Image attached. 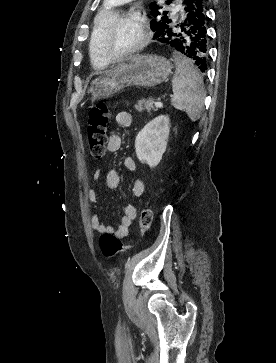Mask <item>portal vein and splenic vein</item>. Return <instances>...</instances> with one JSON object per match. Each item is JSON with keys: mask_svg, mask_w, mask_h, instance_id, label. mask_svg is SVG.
Wrapping results in <instances>:
<instances>
[{"mask_svg": "<svg viewBox=\"0 0 276 363\" xmlns=\"http://www.w3.org/2000/svg\"><path fill=\"white\" fill-rule=\"evenodd\" d=\"M155 106L162 107L163 106V103L161 101H158V102L155 103Z\"/></svg>", "mask_w": 276, "mask_h": 363, "instance_id": "1", "label": "portal vein and splenic vein"}]
</instances>
